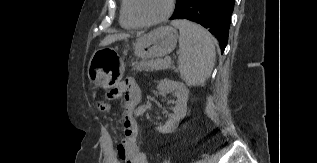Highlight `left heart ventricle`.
<instances>
[{
    "label": "left heart ventricle",
    "instance_id": "left-heart-ventricle-1",
    "mask_svg": "<svg viewBox=\"0 0 317 163\" xmlns=\"http://www.w3.org/2000/svg\"><path fill=\"white\" fill-rule=\"evenodd\" d=\"M167 8V0H133L135 15L143 21L160 17Z\"/></svg>",
    "mask_w": 317,
    "mask_h": 163
}]
</instances>
